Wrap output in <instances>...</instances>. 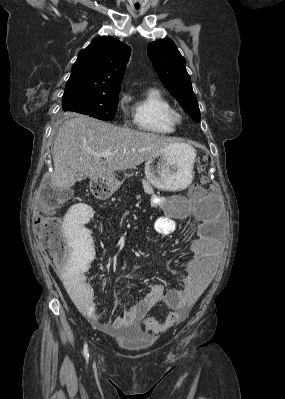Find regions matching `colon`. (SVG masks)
<instances>
[{
    "instance_id": "obj_1",
    "label": "colon",
    "mask_w": 285,
    "mask_h": 399,
    "mask_svg": "<svg viewBox=\"0 0 285 399\" xmlns=\"http://www.w3.org/2000/svg\"><path fill=\"white\" fill-rule=\"evenodd\" d=\"M69 195L68 192H60L57 189H45L41 194L40 213L34 221V234L41 240L45 250L52 256L57 265L65 269L69 265V245L62 221L53 213L59 204ZM204 188L200 185H192L188 189V196L191 200H200L204 197ZM89 227V226H88ZM75 255L79 254V246L71 247ZM93 251L92 245L89 248V256ZM172 320H177L171 315ZM158 322L154 317H146L144 325L148 329L153 328Z\"/></svg>"
}]
</instances>
